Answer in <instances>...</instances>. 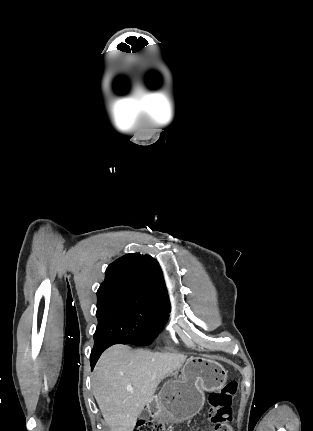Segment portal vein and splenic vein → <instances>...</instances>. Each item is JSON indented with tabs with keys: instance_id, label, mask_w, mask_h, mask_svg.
<instances>
[{
	"instance_id": "portal-vein-and-splenic-vein-1",
	"label": "portal vein and splenic vein",
	"mask_w": 313,
	"mask_h": 431,
	"mask_svg": "<svg viewBox=\"0 0 313 431\" xmlns=\"http://www.w3.org/2000/svg\"><path fill=\"white\" fill-rule=\"evenodd\" d=\"M127 390H128L129 392H131V393L133 392V388H132L131 386H128V387H127Z\"/></svg>"
}]
</instances>
